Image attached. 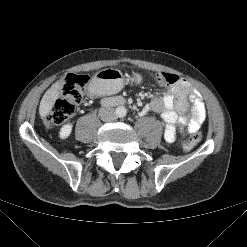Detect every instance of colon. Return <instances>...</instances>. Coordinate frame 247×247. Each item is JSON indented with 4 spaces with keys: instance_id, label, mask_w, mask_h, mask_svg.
Here are the masks:
<instances>
[{
    "instance_id": "colon-1",
    "label": "colon",
    "mask_w": 247,
    "mask_h": 247,
    "mask_svg": "<svg viewBox=\"0 0 247 247\" xmlns=\"http://www.w3.org/2000/svg\"><path fill=\"white\" fill-rule=\"evenodd\" d=\"M153 80L164 86H171L178 82L179 77L175 74L159 72L152 75ZM88 77L85 75L68 74L59 87V96L52 109L46 116L48 125H59L74 115L77 106L82 102ZM202 139L200 132L194 133L186 142L183 143L185 150H191Z\"/></svg>"
}]
</instances>
